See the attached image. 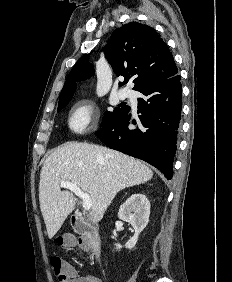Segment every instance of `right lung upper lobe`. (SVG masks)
Masks as SVG:
<instances>
[{
  "label": "right lung upper lobe",
  "instance_id": "cb5924a9",
  "mask_svg": "<svg viewBox=\"0 0 232 282\" xmlns=\"http://www.w3.org/2000/svg\"><path fill=\"white\" fill-rule=\"evenodd\" d=\"M105 56L117 75H137L134 90L147 83L168 79L178 73L172 53L155 29L138 22H130L116 29L108 44L104 47ZM88 55L83 56L69 73L60 99L73 95L77 82L93 76V67L88 62Z\"/></svg>",
  "mask_w": 232,
  "mask_h": 282
}]
</instances>
